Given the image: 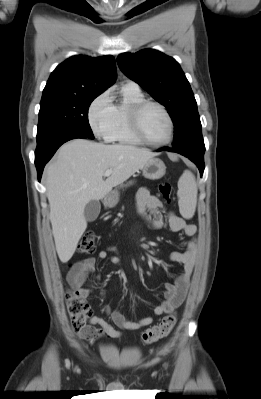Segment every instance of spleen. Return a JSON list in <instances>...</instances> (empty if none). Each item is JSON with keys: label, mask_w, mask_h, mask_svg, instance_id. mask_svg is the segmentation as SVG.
<instances>
[{"label": "spleen", "mask_w": 261, "mask_h": 399, "mask_svg": "<svg viewBox=\"0 0 261 399\" xmlns=\"http://www.w3.org/2000/svg\"><path fill=\"white\" fill-rule=\"evenodd\" d=\"M197 184L194 175L186 170L178 181V205L181 215L190 219L193 217L197 204Z\"/></svg>", "instance_id": "3e777b00"}]
</instances>
